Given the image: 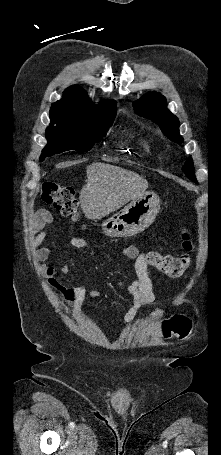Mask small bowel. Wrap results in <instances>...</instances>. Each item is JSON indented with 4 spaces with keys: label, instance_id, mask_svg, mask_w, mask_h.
Masks as SVG:
<instances>
[{
    "label": "small bowel",
    "instance_id": "1",
    "mask_svg": "<svg viewBox=\"0 0 221 455\" xmlns=\"http://www.w3.org/2000/svg\"><path fill=\"white\" fill-rule=\"evenodd\" d=\"M51 222L52 217L46 210L37 212L32 221V232L34 234L33 245L37 247L35 257L39 261H46L53 254V250L50 247H39L49 235V231L44 230V228ZM70 243L76 248L87 249L90 254H93V251L89 248L87 242L81 238L73 237L71 238ZM122 255L135 261V276L127 286H124L125 291L130 294L132 298V306L124 315L120 322V326L132 322L141 307L151 304L155 300L153 286L147 272L148 265L146 253L141 251L138 247L131 245L122 250ZM67 272L68 266L66 264L49 265L45 270L46 280L51 287L59 292L68 306H73L77 314H82L85 298L87 296L98 298L101 293L100 291L91 288L87 283L74 286L62 285L58 281L57 276L66 274ZM163 314L164 311L162 309H157L151 314L148 321L155 322L159 320Z\"/></svg>",
    "mask_w": 221,
    "mask_h": 455
}]
</instances>
